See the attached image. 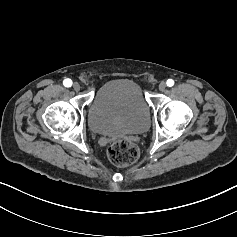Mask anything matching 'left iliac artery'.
Returning <instances> with one entry per match:
<instances>
[{"instance_id":"44dca946","label":"left iliac artery","mask_w":237,"mask_h":237,"mask_svg":"<svg viewBox=\"0 0 237 237\" xmlns=\"http://www.w3.org/2000/svg\"><path fill=\"white\" fill-rule=\"evenodd\" d=\"M166 84L167 86L172 87L174 85V81L172 79H168Z\"/></svg>"}]
</instances>
